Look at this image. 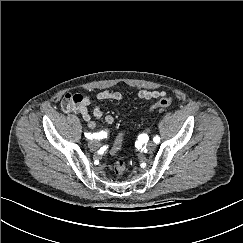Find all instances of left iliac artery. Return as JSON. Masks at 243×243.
<instances>
[{
    "label": "left iliac artery",
    "instance_id": "obj_1",
    "mask_svg": "<svg viewBox=\"0 0 243 243\" xmlns=\"http://www.w3.org/2000/svg\"><path fill=\"white\" fill-rule=\"evenodd\" d=\"M153 141L158 144L160 142V137L155 136Z\"/></svg>",
    "mask_w": 243,
    "mask_h": 243
}]
</instances>
